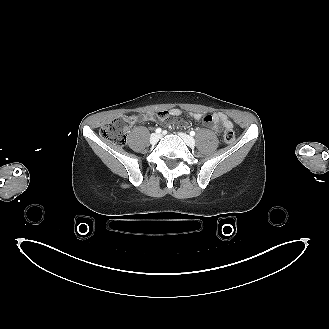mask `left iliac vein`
Segmentation results:
<instances>
[{
    "mask_svg": "<svg viewBox=\"0 0 329 329\" xmlns=\"http://www.w3.org/2000/svg\"><path fill=\"white\" fill-rule=\"evenodd\" d=\"M179 135L188 146L193 147L195 145V140L193 137H191L185 133H179Z\"/></svg>",
    "mask_w": 329,
    "mask_h": 329,
    "instance_id": "left-iliac-vein-1",
    "label": "left iliac vein"
}]
</instances>
